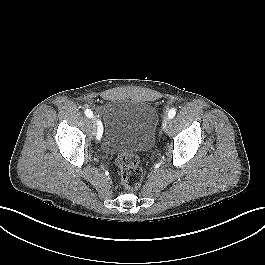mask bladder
Here are the masks:
<instances>
[{
	"instance_id": "31cf9c89",
	"label": "bladder",
	"mask_w": 265,
	"mask_h": 265,
	"mask_svg": "<svg viewBox=\"0 0 265 265\" xmlns=\"http://www.w3.org/2000/svg\"><path fill=\"white\" fill-rule=\"evenodd\" d=\"M158 120V111L149 102L109 100L101 128L102 150L117 157L148 152L154 142Z\"/></svg>"
}]
</instances>
